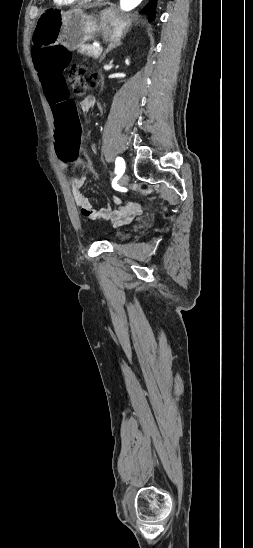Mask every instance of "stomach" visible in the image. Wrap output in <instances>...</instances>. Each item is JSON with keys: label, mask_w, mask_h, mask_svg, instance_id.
<instances>
[{"label": "stomach", "mask_w": 253, "mask_h": 548, "mask_svg": "<svg viewBox=\"0 0 253 548\" xmlns=\"http://www.w3.org/2000/svg\"><path fill=\"white\" fill-rule=\"evenodd\" d=\"M131 25L130 19L119 17L112 8L97 17L88 16L81 9L46 11L37 21L34 42L40 45L61 43L75 50L100 35L108 41H118Z\"/></svg>", "instance_id": "stomach-1"}]
</instances>
